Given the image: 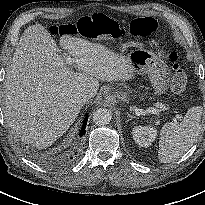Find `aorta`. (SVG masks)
Listing matches in <instances>:
<instances>
[{"mask_svg":"<svg viewBox=\"0 0 205 205\" xmlns=\"http://www.w3.org/2000/svg\"><path fill=\"white\" fill-rule=\"evenodd\" d=\"M111 118H112V114L110 110L106 108H100L96 110L93 114V122L97 126H105L109 124V122L111 121Z\"/></svg>","mask_w":205,"mask_h":205,"instance_id":"762f6f07","label":"aorta"}]
</instances>
